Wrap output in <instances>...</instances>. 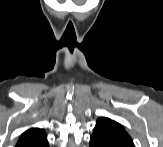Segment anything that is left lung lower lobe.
I'll use <instances>...</instances> for the list:
<instances>
[{
	"label": "left lung lower lobe",
	"instance_id": "obj_1",
	"mask_svg": "<svg viewBox=\"0 0 163 147\" xmlns=\"http://www.w3.org/2000/svg\"><path fill=\"white\" fill-rule=\"evenodd\" d=\"M90 147H135L129 135L102 130H93Z\"/></svg>",
	"mask_w": 163,
	"mask_h": 147
}]
</instances>
